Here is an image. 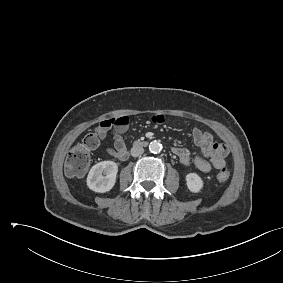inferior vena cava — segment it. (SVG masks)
<instances>
[{
  "label": "inferior vena cava",
  "mask_w": 283,
  "mask_h": 283,
  "mask_svg": "<svg viewBox=\"0 0 283 283\" xmlns=\"http://www.w3.org/2000/svg\"><path fill=\"white\" fill-rule=\"evenodd\" d=\"M143 153H144V149H143V147H141V146H133V147L131 148V155H132L133 157L140 156V155H142Z\"/></svg>",
  "instance_id": "1"
}]
</instances>
